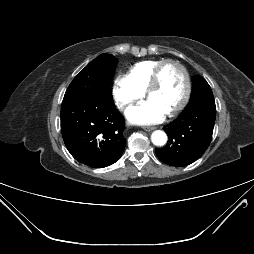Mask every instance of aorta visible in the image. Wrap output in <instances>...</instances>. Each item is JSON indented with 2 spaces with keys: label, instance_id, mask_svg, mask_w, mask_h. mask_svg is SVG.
<instances>
[{
  "label": "aorta",
  "instance_id": "obj_1",
  "mask_svg": "<svg viewBox=\"0 0 254 254\" xmlns=\"http://www.w3.org/2000/svg\"><path fill=\"white\" fill-rule=\"evenodd\" d=\"M152 143L156 146H163L167 142V135L161 130L154 131L151 135Z\"/></svg>",
  "mask_w": 254,
  "mask_h": 254
}]
</instances>
